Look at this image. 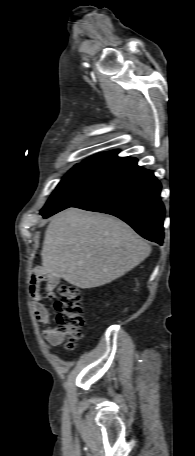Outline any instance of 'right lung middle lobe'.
<instances>
[{
	"label": "right lung middle lobe",
	"mask_w": 195,
	"mask_h": 456,
	"mask_svg": "<svg viewBox=\"0 0 195 456\" xmlns=\"http://www.w3.org/2000/svg\"><path fill=\"white\" fill-rule=\"evenodd\" d=\"M123 171L119 168L79 163L62 178L42 211L53 215L73 207L101 190Z\"/></svg>",
	"instance_id": "right-lung-middle-lobe-1"
}]
</instances>
